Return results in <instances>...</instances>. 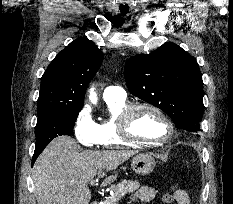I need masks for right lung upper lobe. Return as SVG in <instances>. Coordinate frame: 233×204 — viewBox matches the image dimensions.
Listing matches in <instances>:
<instances>
[{"label":"right lung upper lobe","mask_w":233,"mask_h":204,"mask_svg":"<svg viewBox=\"0 0 233 204\" xmlns=\"http://www.w3.org/2000/svg\"><path fill=\"white\" fill-rule=\"evenodd\" d=\"M103 53L87 38H79L60 51L41 79L38 116L81 109L87 83L100 68Z\"/></svg>","instance_id":"right-lung-upper-lobe-1"}]
</instances>
